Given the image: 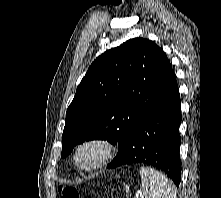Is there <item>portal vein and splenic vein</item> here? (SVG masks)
Here are the masks:
<instances>
[{
    "label": "portal vein and splenic vein",
    "mask_w": 221,
    "mask_h": 198,
    "mask_svg": "<svg viewBox=\"0 0 221 198\" xmlns=\"http://www.w3.org/2000/svg\"><path fill=\"white\" fill-rule=\"evenodd\" d=\"M141 197V196H140ZM136 198H139V195L136 196ZM143 198V197H142Z\"/></svg>",
    "instance_id": "portal-vein-and-splenic-vein-1"
}]
</instances>
